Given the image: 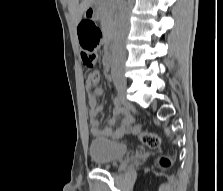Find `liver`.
<instances>
[{
	"label": "liver",
	"mask_w": 223,
	"mask_h": 191,
	"mask_svg": "<svg viewBox=\"0 0 223 191\" xmlns=\"http://www.w3.org/2000/svg\"><path fill=\"white\" fill-rule=\"evenodd\" d=\"M95 0H68V9L75 25H78L82 19V15L86 10L94 4Z\"/></svg>",
	"instance_id": "liver-1"
}]
</instances>
